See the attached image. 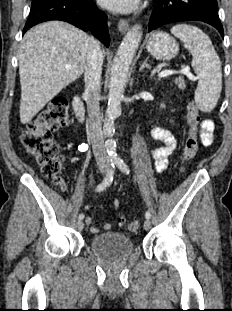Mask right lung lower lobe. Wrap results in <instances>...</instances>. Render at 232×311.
I'll return each instance as SVG.
<instances>
[{
  "label": "right lung lower lobe",
  "mask_w": 232,
  "mask_h": 311,
  "mask_svg": "<svg viewBox=\"0 0 232 311\" xmlns=\"http://www.w3.org/2000/svg\"><path fill=\"white\" fill-rule=\"evenodd\" d=\"M50 20L66 21L84 31L92 30L96 38L109 46L107 16L92 0H33L24 33L34 25ZM99 23L100 27L94 28Z\"/></svg>",
  "instance_id": "98d812e1"
}]
</instances>
